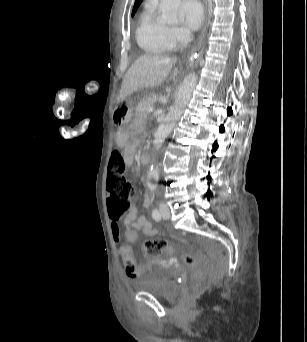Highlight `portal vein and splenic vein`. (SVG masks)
Masks as SVG:
<instances>
[{
  "label": "portal vein and splenic vein",
  "mask_w": 307,
  "mask_h": 342,
  "mask_svg": "<svg viewBox=\"0 0 307 342\" xmlns=\"http://www.w3.org/2000/svg\"><path fill=\"white\" fill-rule=\"evenodd\" d=\"M154 108H148L147 112H153Z\"/></svg>",
  "instance_id": "portal-vein-and-splenic-vein-1"
}]
</instances>
